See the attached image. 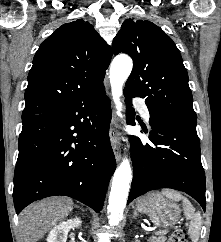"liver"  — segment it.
Returning a JSON list of instances; mask_svg holds the SVG:
<instances>
[{"mask_svg": "<svg viewBox=\"0 0 221 242\" xmlns=\"http://www.w3.org/2000/svg\"><path fill=\"white\" fill-rule=\"evenodd\" d=\"M73 207V201L65 197H53L29 205L20 215L24 242H37L58 221L66 218Z\"/></svg>", "mask_w": 221, "mask_h": 242, "instance_id": "obj_1", "label": "liver"}]
</instances>
